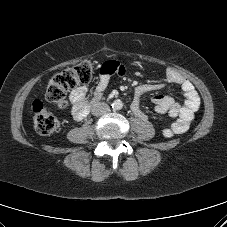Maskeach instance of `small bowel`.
<instances>
[{
    "label": "small bowel",
    "mask_w": 227,
    "mask_h": 227,
    "mask_svg": "<svg viewBox=\"0 0 227 227\" xmlns=\"http://www.w3.org/2000/svg\"><path fill=\"white\" fill-rule=\"evenodd\" d=\"M123 74L124 68L118 62L109 61L104 63L101 67V75L95 89L94 99H99L102 96L113 75ZM166 80L169 83L180 86L185 96L183 102H177L172 97L161 94L153 97L155 111L158 113H167L174 119L170 127L163 129V135L166 138H172L188 130L195 112L200 107L201 100L192 82L173 68L166 69ZM163 87V84H144L136 87L134 99L131 104L133 113L139 118L146 120L147 114L141 108L142 97L147 93L160 90ZM87 94L88 88L86 86L77 87L70 94V100L72 102L70 113L75 120H82L88 114L89 103L86 99Z\"/></svg>",
    "instance_id": "c3829d8e"
}]
</instances>
